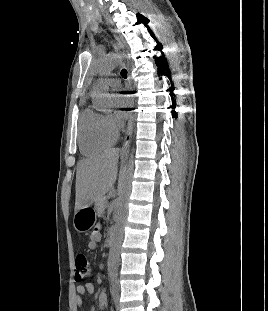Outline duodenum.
<instances>
[{"mask_svg": "<svg viewBox=\"0 0 268 311\" xmlns=\"http://www.w3.org/2000/svg\"><path fill=\"white\" fill-rule=\"evenodd\" d=\"M113 242H114V233L111 231V232L109 233V235H108L107 243H108L109 245H112Z\"/></svg>", "mask_w": 268, "mask_h": 311, "instance_id": "duodenum-1", "label": "duodenum"}]
</instances>
